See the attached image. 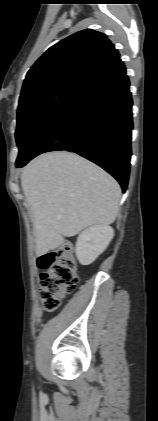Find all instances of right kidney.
Wrapping results in <instances>:
<instances>
[{
  "instance_id": "1",
  "label": "right kidney",
  "mask_w": 158,
  "mask_h": 421,
  "mask_svg": "<svg viewBox=\"0 0 158 421\" xmlns=\"http://www.w3.org/2000/svg\"><path fill=\"white\" fill-rule=\"evenodd\" d=\"M114 236L108 225H96L84 230L77 238L76 256L80 264L89 265L105 251Z\"/></svg>"
}]
</instances>
